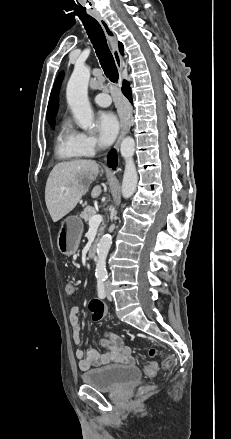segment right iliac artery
I'll list each match as a JSON object with an SVG mask.
<instances>
[{
    "instance_id": "obj_1",
    "label": "right iliac artery",
    "mask_w": 231,
    "mask_h": 439,
    "mask_svg": "<svg viewBox=\"0 0 231 439\" xmlns=\"http://www.w3.org/2000/svg\"><path fill=\"white\" fill-rule=\"evenodd\" d=\"M104 281L105 279H98L97 282V290H98V296L103 299L105 298L106 294H105V287H104Z\"/></svg>"
}]
</instances>
